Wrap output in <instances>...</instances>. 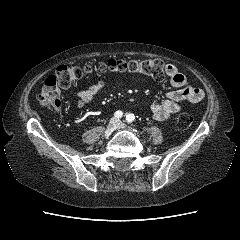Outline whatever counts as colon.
Wrapping results in <instances>:
<instances>
[{
  "mask_svg": "<svg viewBox=\"0 0 240 240\" xmlns=\"http://www.w3.org/2000/svg\"><path fill=\"white\" fill-rule=\"evenodd\" d=\"M125 73L145 75L156 81H161L167 76V65L159 59H109L96 65H60L54 75L46 79L39 95V102L45 108L57 109L60 107L61 88H69L91 75ZM192 123L193 116L188 113H182L177 117V125L181 129L189 128Z\"/></svg>",
  "mask_w": 240,
  "mask_h": 240,
  "instance_id": "colon-1",
  "label": "colon"
}]
</instances>
